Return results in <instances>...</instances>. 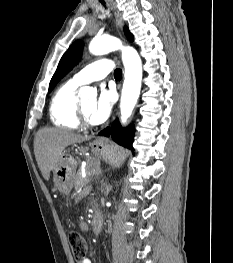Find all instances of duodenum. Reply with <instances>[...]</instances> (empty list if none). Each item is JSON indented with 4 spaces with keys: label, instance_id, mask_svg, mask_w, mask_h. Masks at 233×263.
Returning <instances> with one entry per match:
<instances>
[{
    "label": "duodenum",
    "instance_id": "obj_1",
    "mask_svg": "<svg viewBox=\"0 0 233 263\" xmlns=\"http://www.w3.org/2000/svg\"><path fill=\"white\" fill-rule=\"evenodd\" d=\"M91 225L93 232L99 234L102 229V217L99 212L95 211L93 213Z\"/></svg>",
    "mask_w": 233,
    "mask_h": 263
}]
</instances>
